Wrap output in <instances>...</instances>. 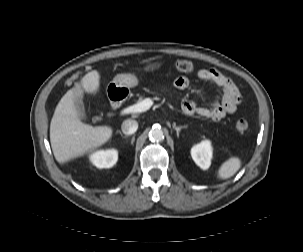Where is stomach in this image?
I'll use <instances>...</instances> for the list:
<instances>
[{"mask_svg": "<svg viewBox=\"0 0 303 252\" xmlns=\"http://www.w3.org/2000/svg\"><path fill=\"white\" fill-rule=\"evenodd\" d=\"M161 66L162 63L160 62L149 63L144 67V70L147 72L154 71ZM112 84L115 85L116 88L130 89L138 85V78L134 74H118L111 82V85Z\"/></svg>", "mask_w": 303, "mask_h": 252, "instance_id": "0dacf381", "label": "stomach"}]
</instances>
